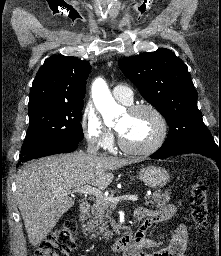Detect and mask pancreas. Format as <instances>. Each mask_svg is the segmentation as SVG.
Instances as JSON below:
<instances>
[{
  "label": "pancreas",
  "mask_w": 221,
  "mask_h": 256,
  "mask_svg": "<svg viewBox=\"0 0 221 256\" xmlns=\"http://www.w3.org/2000/svg\"><path fill=\"white\" fill-rule=\"evenodd\" d=\"M116 191H112L110 197H113ZM171 193L166 190L165 192L156 191L151 196H145V204L152 207H160L165 205L170 200ZM110 204L104 198H97L94 205L91 208L92 215L89 217L87 223V230L92 239H96L98 236H102L104 239L112 238V231L108 229V219L112 213ZM95 233V234H94Z\"/></svg>",
  "instance_id": "1"
}]
</instances>
